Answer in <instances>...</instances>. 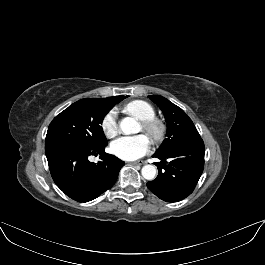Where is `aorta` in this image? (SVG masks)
<instances>
[{
    "mask_svg": "<svg viewBox=\"0 0 265 265\" xmlns=\"http://www.w3.org/2000/svg\"><path fill=\"white\" fill-rule=\"evenodd\" d=\"M120 129L124 134L139 133L141 127L139 123L132 117H125L120 122ZM142 176L147 180H153L156 176V168L153 165H145L141 170Z\"/></svg>",
    "mask_w": 265,
    "mask_h": 265,
    "instance_id": "1",
    "label": "aorta"
}]
</instances>
